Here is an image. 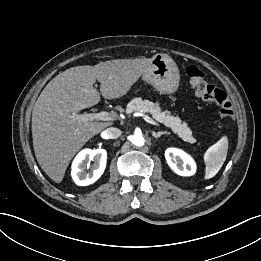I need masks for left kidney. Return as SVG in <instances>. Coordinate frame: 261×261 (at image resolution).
Returning a JSON list of instances; mask_svg holds the SVG:
<instances>
[{"label":"left kidney","mask_w":261,"mask_h":261,"mask_svg":"<svg viewBox=\"0 0 261 261\" xmlns=\"http://www.w3.org/2000/svg\"><path fill=\"white\" fill-rule=\"evenodd\" d=\"M165 158L170 168L178 175L192 176L196 172L194 160L184 151L176 148H168Z\"/></svg>","instance_id":"1"}]
</instances>
